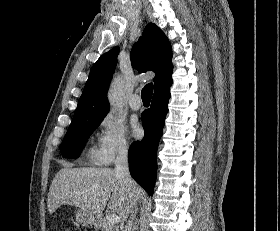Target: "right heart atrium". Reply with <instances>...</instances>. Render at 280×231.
<instances>
[{"instance_id": "obj_1", "label": "right heart atrium", "mask_w": 280, "mask_h": 231, "mask_svg": "<svg viewBox=\"0 0 280 231\" xmlns=\"http://www.w3.org/2000/svg\"><path fill=\"white\" fill-rule=\"evenodd\" d=\"M100 134L95 149V159L109 164L115 156L129 151L131 144L123 125L112 117L105 118L100 124Z\"/></svg>"}]
</instances>
